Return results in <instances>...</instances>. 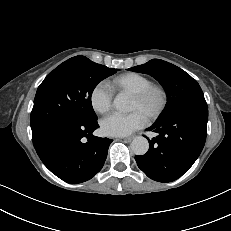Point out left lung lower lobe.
<instances>
[{
    "label": "left lung lower lobe",
    "instance_id": "left-lung-lower-lobe-1",
    "mask_svg": "<svg viewBox=\"0 0 231 231\" xmlns=\"http://www.w3.org/2000/svg\"><path fill=\"white\" fill-rule=\"evenodd\" d=\"M207 103H193L156 121L146 131L158 133L149 140L150 148L135 156L138 167L151 179L172 182L194 164L206 140Z\"/></svg>",
    "mask_w": 231,
    "mask_h": 231
}]
</instances>
